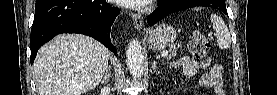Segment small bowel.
Listing matches in <instances>:
<instances>
[{"mask_svg":"<svg viewBox=\"0 0 277 95\" xmlns=\"http://www.w3.org/2000/svg\"><path fill=\"white\" fill-rule=\"evenodd\" d=\"M175 65L182 69L183 74L187 77L194 76L200 73L201 83L205 86H211L213 88V94L225 95L223 85L219 75H215V70H221V67H217L213 71L211 67V59L208 57L204 60L197 61L190 57H183L175 61Z\"/></svg>","mask_w":277,"mask_h":95,"instance_id":"obj_1","label":"small bowel"}]
</instances>
